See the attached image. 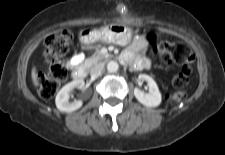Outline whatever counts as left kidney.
Masks as SVG:
<instances>
[{"label": "left kidney", "instance_id": "1", "mask_svg": "<svg viewBox=\"0 0 225 155\" xmlns=\"http://www.w3.org/2000/svg\"><path fill=\"white\" fill-rule=\"evenodd\" d=\"M139 81H146L149 86V92L144 93L142 90L135 88L134 95L136 99L146 107H157L160 105L162 97L156 82L152 77L146 74H140Z\"/></svg>", "mask_w": 225, "mask_h": 155}]
</instances>
